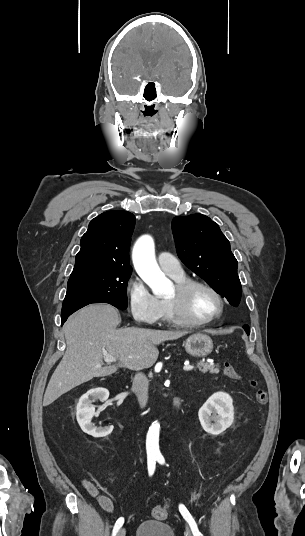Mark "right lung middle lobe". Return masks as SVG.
Listing matches in <instances>:
<instances>
[{
    "mask_svg": "<svg viewBox=\"0 0 305 536\" xmlns=\"http://www.w3.org/2000/svg\"><path fill=\"white\" fill-rule=\"evenodd\" d=\"M131 273H91L70 277L63 307L106 302L126 309V289Z\"/></svg>",
    "mask_w": 305,
    "mask_h": 536,
    "instance_id": "1",
    "label": "right lung middle lobe"
}]
</instances>
